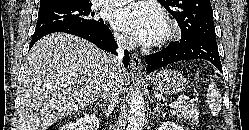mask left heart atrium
<instances>
[{
    "mask_svg": "<svg viewBox=\"0 0 249 130\" xmlns=\"http://www.w3.org/2000/svg\"><path fill=\"white\" fill-rule=\"evenodd\" d=\"M113 24L142 44L157 42L164 31L161 9L152 2L135 1L113 14Z\"/></svg>",
    "mask_w": 249,
    "mask_h": 130,
    "instance_id": "39dd6f15",
    "label": "left heart atrium"
}]
</instances>
